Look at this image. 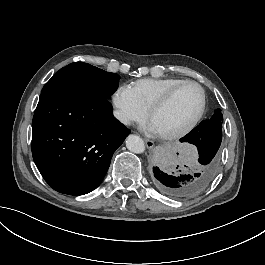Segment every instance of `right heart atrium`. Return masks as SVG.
<instances>
[{
  "label": "right heart atrium",
  "mask_w": 265,
  "mask_h": 265,
  "mask_svg": "<svg viewBox=\"0 0 265 265\" xmlns=\"http://www.w3.org/2000/svg\"><path fill=\"white\" fill-rule=\"evenodd\" d=\"M112 116L115 122L122 127L136 128L146 122L147 112L140 109L135 97L129 92L126 85L117 86L112 92Z\"/></svg>",
  "instance_id": "obj_1"
}]
</instances>
